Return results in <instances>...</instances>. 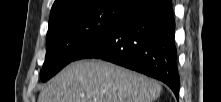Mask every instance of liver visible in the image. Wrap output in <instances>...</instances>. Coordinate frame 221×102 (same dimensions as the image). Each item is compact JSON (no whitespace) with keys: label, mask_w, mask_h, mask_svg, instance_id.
Wrapping results in <instances>:
<instances>
[{"label":"liver","mask_w":221,"mask_h":102,"mask_svg":"<svg viewBox=\"0 0 221 102\" xmlns=\"http://www.w3.org/2000/svg\"><path fill=\"white\" fill-rule=\"evenodd\" d=\"M161 90L153 79L92 59L64 68L41 90L38 102H153Z\"/></svg>","instance_id":"liver-1"}]
</instances>
